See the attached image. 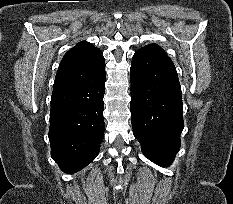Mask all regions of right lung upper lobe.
<instances>
[{"mask_svg":"<svg viewBox=\"0 0 233 204\" xmlns=\"http://www.w3.org/2000/svg\"><path fill=\"white\" fill-rule=\"evenodd\" d=\"M104 65L101 50L88 42L79 43L63 57L55 77L53 91L90 79Z\"/></svg>","mask_w":233,"mask_h":204,"instance_id":"right-lung-upper-lobe-1","label":"right lung upper lobe"}]
</instances>
